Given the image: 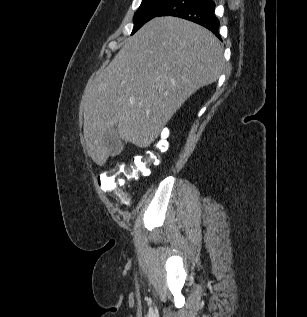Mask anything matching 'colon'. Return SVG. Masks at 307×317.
Here are the masks:
<instances>
[{
  "mask_svg": "<svg viewBox=\"0 0 307 317\" xmlns=\"http://www.w3.org/2000/svg\"><path fill=\"white\" fill-rule=\"evenodd\" d=\"M168 136V129L162 128L150 148L142 155L135 156L129 165L119 163L113 169L102 173L98 177L101 189L121 201L126 200L127 194L122 189L121 183L135 180L140 175H148L150 167L157 165L161 155L167 151Z\"/></svg>",
  "mask_w": 307,
  "mask_h": 317,
  "instance_id": "1",
  "label": "colon"
}]
</instances>
